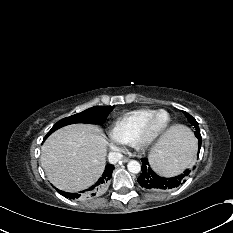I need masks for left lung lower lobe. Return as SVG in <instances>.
<instances>
[{
    "mask_svg": "<svg viewBox=\"0 0 233 233\" xmlns=\"http://www.w3.org/2000/svg\"><path fill=\"white\" fill-rule=\"evenodd\" d=\"M198 145L200 151L201 140H198ZM198 156H199V152H198ZM141 161H142V173L138 177L137 181L142 187L149 190L165 191V190L174 189L180 186L181 184H183L192 171L190 169H187L186 171H184V173L178 176L165 178L158 176L151 169V166L147 158H143L141 159Z\"/></svg>",
    "mask_w": 233,
    "mask_h": 233,
    "instance_id": "obj_1",
    "label": "left lung lower lobe"
}]
</instances>
